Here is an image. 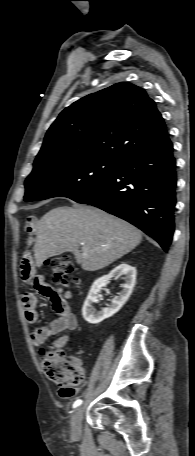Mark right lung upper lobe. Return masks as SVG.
Listing matches in <instances>:
<instances>
[{
    "label": "right lung upper lobe",
    "instance_id": "1",
    "mask_svg": "<svg viewBox=\"0 0 195 456\" xmlns=\"http://www.w3.org/2000/svg\"><path fill=\"white\" fill-rule=\"evenodd\" d=\"M170 141L164 120L146 92L122 82L64 109L46 133L34 166L60 158L122 159Z\"/></svg>",
    "mask_w": 195,
    "mask_h": 456
}]
</instances>
